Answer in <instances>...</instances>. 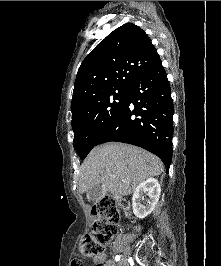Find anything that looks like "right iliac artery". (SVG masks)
Returning <instances> with one entry per match:
<instances>
[{
    "mask_svg": "<svg viewBox=\"0 0 221 266\" xmlns=\"http://www.w3.org/2000/svg\"><path fill=\"white\" fill-rule=\"evenodd\" d=\"M115 260H116V261H119V260H120V255H117V256L115 257Z\"/></svg>",
    "mask_w": 221,
    "mask_h": 266,
    "instance_id": "1",
    "label": "right iliac artery"
}]
</instances>
